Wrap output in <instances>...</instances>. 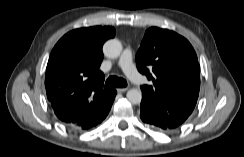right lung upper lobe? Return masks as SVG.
Listing matches in <instances>:
<instances>
[{
    "label": "right lung upper lobe",
    "instance_id": "1",
    "mask_svg": "<svg viewBox=\"0 0 244 157\" xmlns=\"http://www.w3.org/2000/svg\"><path fill=\"white\" fill-rule=\"evenodd\" d=\"M110 26L80 28L65 34L53 48L47 68V98L56 116L65 124L90 129L108 109L115 90L103 88L98 69L104 42L115 36Z\"/></svg>",
    "mask_w": 244,
    "mask_h": 157
}]
</instances>
